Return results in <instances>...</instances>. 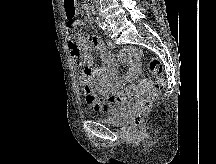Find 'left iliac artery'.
<instances>
[{"label":"left iliac artery","mask_w":216,"mask_h":164,"mask_svg":"<svg viewBox=\"0 0 216 164\" xmlns=\"http://www.w3.org/2000/svg\"><path fill=\"white\" fill-rule=\"evenodd\" d=\"M95 22L96 24L98 25V27L102 30H105L106 29V24L105 22L103 21V19L99 18V17H96L95 18Z\"/></svg>","instance_id":"1"}]
</instances>
